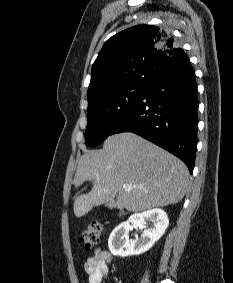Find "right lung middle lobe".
<instances>
[{"mask_svg":"<svg viewBox=\"0 0 233 283\" xmlns=\"http://www.w3.org/2000/svg\"><path fill=\"white\" fill-rule=\"evenodd\" d=\"M147 85H129L109 92L88 105V124L85 132L87 146L103 142L127 116L143 95Z\"/></svg>","mask_w":233,"mask_h":283,"instance_id":"1","label":"right lung middle lobe"}]
</instances>
